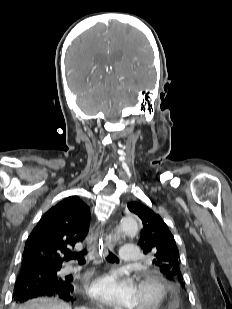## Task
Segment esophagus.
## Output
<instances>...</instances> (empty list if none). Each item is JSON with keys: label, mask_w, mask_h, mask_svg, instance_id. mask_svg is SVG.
<instances>
[{"label": "esophagus", "mask_w": 232, "mask_h": 309, "mask_svg": "<svg viewBox=\"0 0 232 309\" xmlns=\"http://www.w3.org/2000/svg\"><path fill=\"white\" fill-rule=\"evenodd\" d=\"M112 248L109 235L104 230H97L93 234V242L91 245V257L96 261L102 259L108 254Z\"/></svg>", "instance_id": "1"}]
</instances>
